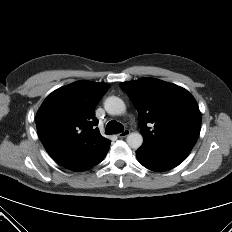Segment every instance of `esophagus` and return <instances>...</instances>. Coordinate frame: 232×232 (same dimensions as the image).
I'll return each instance as SVG.
<instances>
[{
	"instance_id": "obj_1",
	"label": "esophagus",
	"mask_w": 232,
	"mask_h": 232,
	"mask_svg": "<svg viewBox=\"0 0 232 232\" xmlns=\"http://www.w3.org/2000/svg\"><path fill=\"white\" fill-rule=\"evenodd\" d=\"M130 134V130L126 129L122 133H119L118 136L119 138H125Z\"/></svg>"
}]
</instances>
